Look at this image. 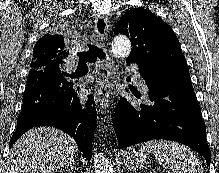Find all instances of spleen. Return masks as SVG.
Returning <instances> with one entry per match:
<instances>
[{"instance_id": "1", "label": "spleen", "mask_w": 219, "mask_h": 173, "mask_svg": "<svg viewBox=\"0 0 219 173\" xmlns=\"http://www.w3.org/2000/svg\"><path fill=\"white\" fill-rule=\"evenodd\" d=\"M140 152L153 153L160 164L174 173H204L196 156L177 142L150 140L141 145Z\"/></svg>"}]
</instances>
